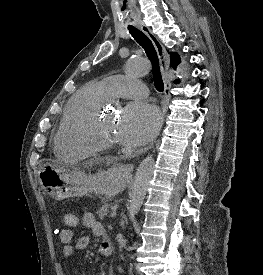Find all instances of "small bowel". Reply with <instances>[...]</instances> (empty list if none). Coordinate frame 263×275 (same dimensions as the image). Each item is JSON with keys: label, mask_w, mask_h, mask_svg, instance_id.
<instances>
[{"label": "small bowel", "mask_w": 263, "mask_h": 275, "mask_svg": "<svg viewBox=\"0 0 263 275\" xmlns=\"http://www.w3.org/2000/svg\"><path fill=\"white\" fill-rule=\"evenodd\" d=\"M82 225L85 229L91 231L95 236L102 237L104 240L99 248L102 256H109L111 250L110 243L106 239L104 226L95 219L92 213H85L82 218ZM59 239L63 243L62 262H67L68 259L76 252L86 249L90 244L89 236H81L74 242V231L70 228H63L59 231ZM108 275H113L110 271Z\"/></svg>", "instance_id": "small-bowel-1"}]
</instances>
